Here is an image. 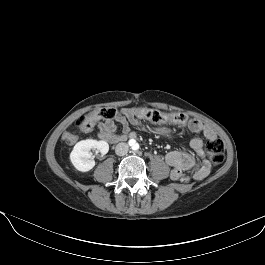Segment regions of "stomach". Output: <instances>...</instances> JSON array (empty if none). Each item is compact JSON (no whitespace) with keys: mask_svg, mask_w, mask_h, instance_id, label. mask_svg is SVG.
Listing matches in <instances>:
<instances>
[{"mask_svg":"<svg viewBox=\"0 0 265 265\" xmlns=\"http://www.w3.org/2000/svg\"><path fill=\"white\" fill-rule=\"evenodd\" d=\"M157 133L159 135H162V136L168 137V138H170L172 136L171 135V132L168 129H165V128H159V129H157Z\"/></svg>","mask_w":265,"mask_h":265,"instance_id":"stomach-1","label":"stomach"}]
</instances>
